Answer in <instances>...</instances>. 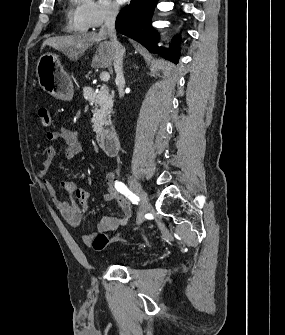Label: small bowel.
Returning a JSON list of instances; mask_svg holds the SVG:
<instances>
[{
	"mask_svg": "<svg viewBox=\"0 0 285 335\" xmlns=\"http://www.w3.org/2000/svg\"><path fill=\"white\" fill-rule=\"evenodd\" d=\"M49 142L62 141L67 145L65 157L73 159L83 153V145L78 140L76 133L69 127H61L58 130L50 131L46 135ZM56 148L49 146L46 150L45 160L38 170L43 187L52 199L55 207L64 220L75 228H79L83 221V215L89 210L90 195L85 190L79 188L74 181H64L61 184V193L73 196L77 201V207H73L68 201L63 199L60 192L46 179L53 161L56 157ZM107 191L102 195L103 201H116L121 209V216H104L97 225L96 232L82 235L85 244L90 245L94 236L98 233H109L124 225L132 217V208L128 201L119 194L115 188L113 174L106 172Z\"/></svg>",
	"mask_w": 285,
	"mask_h": 335,
	"instance_id": "obj_1",
	"label": "small bowel"
}]
</instances>
